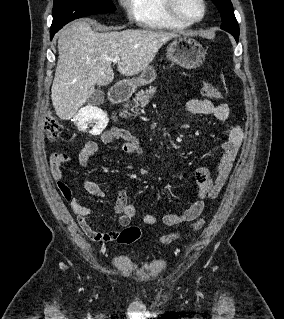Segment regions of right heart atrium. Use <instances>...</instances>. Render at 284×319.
<instances>
[{"mask_svg":"<svg viewBox=\"0 0 284 319\" xmlns=\"http://www.w3.org/2000/svg\"><path fill=\"white\" fill-rule=\"evenodd\" d=\"M120 7L124 10L129 19H135L136 0H117Z\"/></svg>","mask_w":284,"mask_h":319,"instance_id":"right-heart-atrium-1","label":"right heart atrium"}]
</instances>
